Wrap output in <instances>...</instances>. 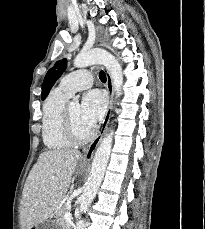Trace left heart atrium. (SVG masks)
<instances>
[{
    "instance_id": "left-heart-atrium-1",
    "label": "left heart atrium",
    "mask_w": 205,
    "mask_h": 229,
    "mask_svg": "<svg viewBox=\"0 0 205 229\" xmlns=\"http://www.w3.org/2000/svg\"><path fill=\"white\" fill-rule=\"evenodd\" d=\"M107 107V97L104 92L98 89L88 91L80 105L81 117L91 127L99 121Z\"/></svg>"
}]
</instances>
